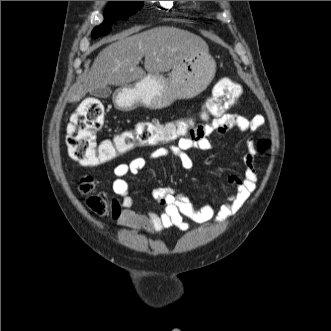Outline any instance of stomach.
<instances>
[{
    "instance_id": "stomach-1",
    "label": "stomach",
    "mask_w": 331,
    "mask_h": 331,
    "mask_svg": "<svg viewBox=\"0 0 331 331\" xmlns=\"http://www.w3.org/2000/svg\"><path fill=\"white\" fill-rule=\"evenodd\" d=\"M215 72L216 63L208 49L198 50L174 67L168 78L148 74L134 84L119 89L114 103L117 109L123 111L138 106L163 109L175 100L190 99L200 94L210 84Z\"/></svg>"
}]
</instances>
